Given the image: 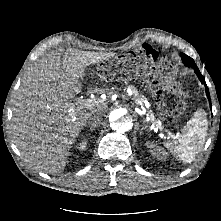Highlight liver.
I'll use <instances>...</instances> for the list:
<instances>
[{"label": "liver", "mask_w": 221, "mask_h": 221, "mask_svg": "<svg viewBox=\"0 0 221 221\" xmlns=\"http://www.w3.org/2000/svg\"><path fill=\"white\" fill-rule=\"evenodd\" d=\"M114 55L52 51L30 68L17 91L11 124L14 143L28 164L46 173L64 170L69 151L90 117L107 111L100 98L73 100L82 90L85 69Z\"/></svg>", "instance_id": "6515ba94"}]
</instances>
